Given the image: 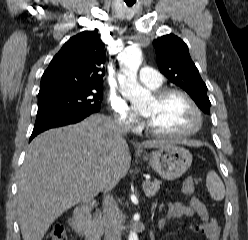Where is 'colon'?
I'll return each mask as SVG.
<instances>
[{"mask_svg":"<svg viewBox=\"0 0 248 240\" xmlns=\"http://www.w3.org/2000/svg\"><path fill=\"white\" fill-rule=\"evenodd\" d=\"M194 186L192 178L186 179L182 186V193L186 196H191L194 192ZM45 240H67L65 226L61 223L56 224Z\"/></svg>","mask_w":248,"mask_h":240,"instance_id":"colon-1","label":"colon"}]
</instances>
